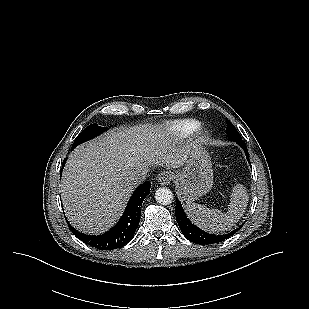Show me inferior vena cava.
<instances>
[{"instance_id": "obj_1", "label": "inferior vena cava", "mask_w": 309, "mask_h": 309, "mask_svg": "<svg viewBox=\"0 0 309 309\" xmlns=\"http://www.w3.org/2000/svg\"><path fill=\"white\" fill-rule=\"evenodd\" d=\"M148 170H140L132 173L131 180L138 184L146 178Z\"/></svg>"}]
</instances>
